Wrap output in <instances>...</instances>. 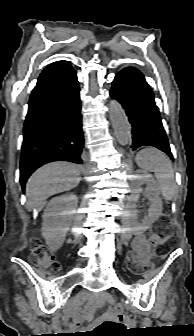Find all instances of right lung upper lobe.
Instances as JSON below:
<instances>
[{
    "instance_id": "obj_1",
    "label": "right lung upper lobe",
    "mask_w": 194,
    "mask_h": 336,
    "mask_svg": "<svg viewBox=\"0 0 194 336\" xmlns=\"http://www.w3.org/2000/svg\"><path fill=\"white\" fill-rule=\"evenodd\" d=\"M60 62H63V61H58V62H55V63H53V64L60 63ZM51 65H52V64H51Z\"/></svg>"
}]
</instances>
